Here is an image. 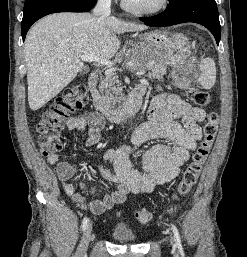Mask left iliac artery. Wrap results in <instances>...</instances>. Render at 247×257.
Instances as JSON below:
<instances>
[{"instance_id": "44dca946", "label": "left iliac artery", "mask_w": 247, "mask_h": 257, "mask_svg": "<svg viewBox=\"0 0 247 257\" xmlns=\"http://www.w3.org/2000/svg\"><path fill=\"white\" fill-rule=\"evenodd\" d=\"M171 229L175 237L176 245L178 246V249L182 252V244H181V239H180V234L178 232V229L174 224H171Z\"/></svg>"}]
</instances>
